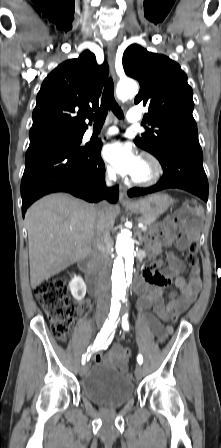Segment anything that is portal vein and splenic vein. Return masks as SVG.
Masks as SVG:
<instances>
[{"label": "portal vein and splenic vein", "instance_id": "18ae733b", "mask_svg": "<svg viewBox=\"0 0 221 448\" xmlns=\"http://www.w3.org/2000/svg\"><path fill=\"white\" fill-rule=\"evenodd\" d=\"M138 227H139L142 231H146V230H147V226L144 225V224H142V223H140V224L138 225Z\"/></svg>", "mask_w": 221, "mask_h": 448}]
</instances>
